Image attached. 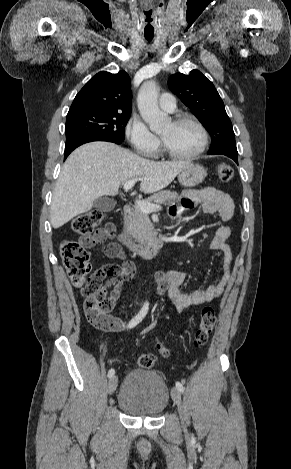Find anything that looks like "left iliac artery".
Segmentation results:
<instances>
[{"label": "left iliac artery", "mask_w": 291, "mask_h": 469, "mask_svg": "<svg viewBox=\"0 0 291 469\" xmlns=\"http://www.w3.org/2000/svg\"><path fill=\"white\" fill-rule=\"evenodd\" d=\"M176 388L183 393L184 392V387L180 382H176Z\"/></svg>", "instance_id": "1"}]
</instances>
